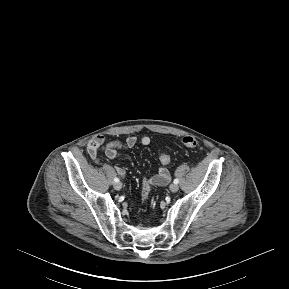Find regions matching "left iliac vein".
Returning <instances> with one entry per match:
<instances>
[{
    "label": "left iliac vein",
    "mask_w": 289,
    "mask_h": 289,
    "mask_svg": "<svg viewBox=\"0 0 289 289\" xmlns=\"http://www.w3.org/2000/svg\"><path fill=\"white\" fill-rule=\"evenodd\" d=\"M169 188H170L171 192H177L178 189H179V186L177 184L173 183V184L170 185Z\"/></svg>",
    "instance_id": "obj_1"
}]
</instances>
